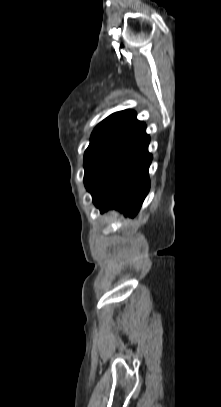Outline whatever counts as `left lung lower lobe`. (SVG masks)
<instances>
[{
  "label": "left lung lower lobe",
  "mask_w": 221,
  "mask_h": 407,
  "mask_svg": "<svg viewBox=\"0 0 221 407\" xmlns=\"http://www.w3.org/2000/svg\"><path fill=\"white\" fill-rule=\"evenodd\" d=\"M136 116L95 163L84 180L101 212L115 208L134 217L149 192V135Z\"/></svg>",
  "instance_id": "left-lung-lower-lobe-1"
}]
</instances>
